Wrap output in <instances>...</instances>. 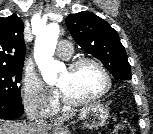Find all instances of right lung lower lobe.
I'll return each mask as SVG.
<instances>
[{
	"label": "right lung lower lobe",
	"instance_id": "98d812e1",
	"mask_svg": "<svg viewBox=\"0 0 153 134\" xmlns=\"http://www.w3.org/2000/svg\"><path fill=\"white\" fill-rule=\"evenodd\" d=\"M23 114L21 102L0 99V119L14 120Z\"/></svg>",
	"mask_w": 153,
	"mask_h": 134
}]
</instances>
